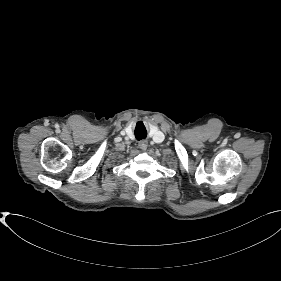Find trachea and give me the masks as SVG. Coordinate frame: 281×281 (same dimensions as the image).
<instances>
[{"label":"trachea","instance_id":"trachea-1","mask_svg":"<svg viewBox=\"0 0 281 281\" xmlns=\"http://www.w3.org/2000/svg\"><path fill=\"white\" fill-rule=\"evenodd\" d=\"M136 138H137L138 140L145 139V138H146V134H140V135H137V134H136Z\"/></svg>","mask_w":281,"mask_h":281}]
</instances>
